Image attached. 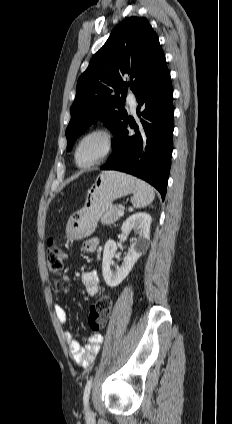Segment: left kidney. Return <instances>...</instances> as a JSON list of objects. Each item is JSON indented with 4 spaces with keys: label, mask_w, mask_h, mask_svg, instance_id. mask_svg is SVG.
Masks as SVG:
<instances>
[{
    "label": "left kidney",
    "mask_w": 232,
    "mask_h": 424,
    "mask_svg": "<svg viewBox=\"0 0 232 424\" xmlns=\"http://www.w3.org/2000/svg\"><path fill=\"white\" fill-rule=\"evenodd\" d=\"M152 218L148 213L139 212L126 219L121 227L122 234L127 236L133 230L138 237L129 248L128 254L124 257L121 267L113 271L111 264L117 246L114 240H109L104 246L102 272L106 284L109 287L118 286L130 273L136 261L142 253L147 250L150 239V225Z\"/></svg>",
    "instance_id": "left-kidney-1"
}]
</instances>
